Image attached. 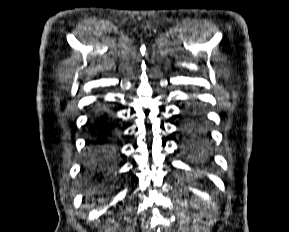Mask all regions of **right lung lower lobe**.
<instances>
[{
  "instance_id": "obj_1",
  "label": "right lung lower lobe",
  "mask_w": 289,
  "mask_h": 232,
  "mask_svg": "<svg viewBox=\"0 0 289 232\" xmlns=\"http://www.w3.org/2000/svg\"><path fill=\"white\" fill-rule=\"evenodd\" d=\"M89 134L85 168L96 180H101L103 170L116 157V130L106 112L98 110L93 115L89 122Z\"/></svg>"
}]
</instances>
